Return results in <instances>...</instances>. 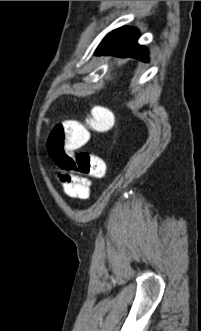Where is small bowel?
Wrapping results in <instances>:
<instances>
[{"mask_svg": "<svg viewBox=\"0 0 201 331\" xmlns=\"http://www.w3.org/2000/svg\"><path fill=\"white\" fill-rule=\"evenodd\" d=\"M46 121H49L46 119ZM59 181L66 195L71 198L86 199L90 194V180L84 176L63 171Z\"/></svg>", "mask_w": 201, "mask_h": 331, "instance_id": "1", "label": "small bowel"}]
</instances>
